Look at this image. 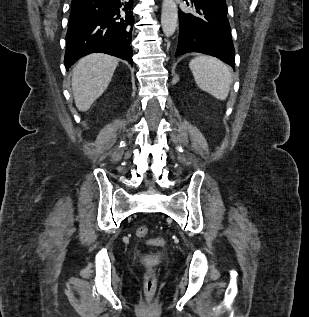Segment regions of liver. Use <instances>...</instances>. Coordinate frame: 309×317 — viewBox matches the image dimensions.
Returning a JSON list of instances; mask_svg holds the SVG:
<instances>
[{
    "instance_id": "liver-1",
    "label": "liver",
    "mask_w": 309,
    "mask_h": 317,
    "mask_svg": "<svg viewBox=\"0 0 309 317\" xmlns=\"http://www.w3.org/2000/svg\"><path fill=\"white\" fill-rule=\"evenodd\" d=\"M118 59L106 54H90L73 69L72 90L79 111H87L107 89Z\"/></svg>"
}]
</instances>
